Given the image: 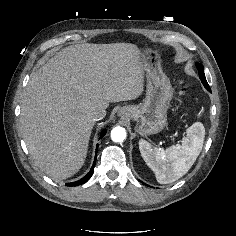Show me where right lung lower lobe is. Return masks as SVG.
I'll list each match as a JSON object with an SVG mask.
<instances>
[{
  "label": "right lung lower lobe",
  "instance_id": "obj_1",
  "mask_svg": "<svg viewBox=\"0 0 236 236\" xmlns=\"http://www.w3.org/2000/svg\"><path fill=\"white\" fill-rule=\"evenodd\" d=\"M105 133H106L105 130L102 131L100 138H102L105 135ZM97 148H98V145H97ZM95 162H96V156H95V160H94V163H93V166H92L91 170L89 171V173L85 177H83L82 179H80V180H78L76 182H73V183H66V185L67 186H77V185H81V184L87 182L90 179V177L92 176V173H93V170H94V166H95Z\"/></svg>",
  "mask_w": 236,
  "mask_h": 236
}]
</instances>
